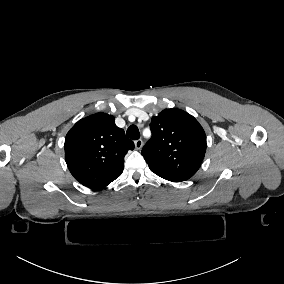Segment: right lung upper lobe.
<instances>
[{
	"label": "right lung upper lobe",
	"instance_id": "1",
	"mask_svg": "<svg viewBox=\"0 0 284 284\" xmlns=\"http://www.w3.org/2000/svg\"><path fill=\"white\" fill-rule=\"evenodd\" d=\"M65 160L73 177L91 189H102L118 178L124 156L134 149L115 118L103 112L78 121L65 138Z\"/></svg>",
	"mask_w": 284,
	"mask_h": 284
}]
</instances>
